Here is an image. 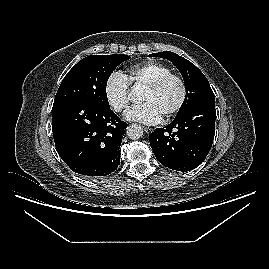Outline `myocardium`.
<instances>
[{
  "instance_id": "myocardium-1",
  "label": "myocardium",
  "mask_w": 269,
  "mask_h": 269,
  "mask_svg": "<svg viewBox=\"0 0 269 269\" xmlns=\"http://www.w3.org/2000/svg\"><path fill=\"white\" fill-rule=\"evenodd\" d=\"M170 80H177L181 87V96L177 104L163 117V120H170L178 114L184 107L188 97V85L185 78L178 73H168L161 76L151 84L146 86V89L157 92L162 89Z\"/></svg>"
}]
</instances>
